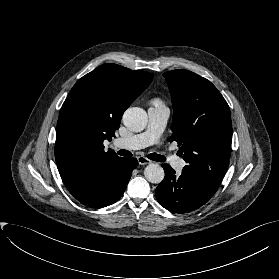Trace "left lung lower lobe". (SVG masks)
Wrapping results in <instances>:
<instances>
[{
	"label": "left lung lower lobe",
	"instance_id": "1",
	"mask_svg": "<svg viewBox=\"0 0 279 279\" xmlns=\"http://www.w3.org/2000/svg\"><path fill=\"white\" fill-rule=\"evenodd\" d=\"M164 180L155 190L158 202L174 213H188L204 205L217 191L216 186L205 180L182 172L175 175L174 169L168 164L163 165Z\"/></svg>",
	"mask_w": 279,
	"mask_h": 279
}]
</instances>
